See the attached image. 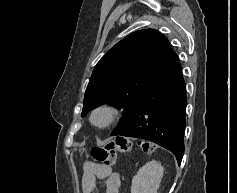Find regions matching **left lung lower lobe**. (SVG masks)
<instances>
[{
	"mask_svg": "<svg viewBox=\"0 0 237 193\" xmlns=\"http://www.w3.org/2000/svg\"><path fill=\"white\" fill-rule=\"evenodd\" d=\"M186 104L185 82L176 56L144 93L131 121L117 135L152 141L171 151L180 164Z\"/></svg>",
	"mask_w": 237,
	"mask_h": 193,
	"instance_id": "obj_1",
	"label": "left lung lower lobe"
}]
</instances>
